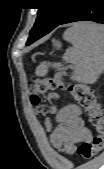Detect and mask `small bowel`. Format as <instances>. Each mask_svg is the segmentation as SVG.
<instances>
[{"mask_svg":"<svg viewBox=\"0 0 104 169\" xmlns=\"http://www.w3.org/2000/svg\"><path fill=\"white\" fill-rule=\"evenodd\" d=\"M58 125L51 134L53 145L68 154L75 151V144L86 143L91 132L86 127L81 108L75 104L63 107L57 115Z\"/></svg>","mask_w":104,"mask_h":169,"instance_id":"1","label":"small bowel"}]
</instances>
